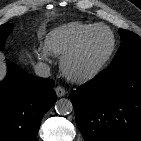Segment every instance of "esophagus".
I'll return each mask as SVG.
<instances>
[{
	"instance_id": "esophagus-1",
	"label": "esophagus",
	"mask_w": 141,
	"mask_h": 141,
	"mask_svg": "<svg viewBox=\"0 0 141 141\" xmlns=\"http://www.w3.org/2000/svg\"><path fill=\"white\" fill-rule=\"evenodd\" d=\"M55 92L58 97H63L66 95V90L61 86L56 87Z\"/></svg>"
}]
</instances>
